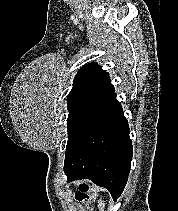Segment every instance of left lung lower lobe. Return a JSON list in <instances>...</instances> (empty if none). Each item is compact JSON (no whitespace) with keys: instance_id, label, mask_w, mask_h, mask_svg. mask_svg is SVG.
Instances as JSON below:
<instances>
[{"instance_id":"obj_1","label":"left lung lower lobe","mask_w":178,"mask_h":211,"mask_svg":"<svg viewBox=\"0 0 178 211\" xmlns=\"http://www.w3.org/2000/svg\"><path fill=\"white\" fill-rule=\"evenodd\" d=\"M132 160L129 126L114 93L95 125L64 162L67 182L90 179L109 190L114 200L123 192Z\"/></svg>"}]
</instances>
